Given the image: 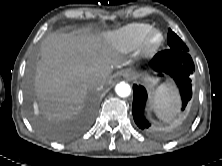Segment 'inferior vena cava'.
Listing matches in <instances>:
<instances>
[{
  "mask_svg": "<svg viewBox=\"0 0 222 166\" xmlns=\"http://www.w3.org/2000/svg\"><path fill=\"white\" fill-rule=\"evenodd\" d=\"M91 83L95 86H97L98 88H102L103 87V84H102V81L100 79H97V78H93L91 80Z\"/></svg>",
  "mask_w": 222,
  "mask_h": 166,
  "instance_id": "602c4592",
  "label": "inferior vena cava"
}]
</instances>
